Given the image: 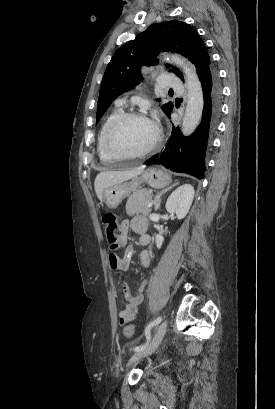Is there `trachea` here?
<instances>
[{
	"label": "trachea",
	"instance_id": "1",
	"mask_svg": "<svg viewBox=\"0 0 275 409\" xmlns=\"http://www.w3.org/2000/svg\"><path fill=\"white\" fill-rule=\"evenodd\" d=\"M169 91H173V89L171 88Z\"/></svg>",
	"mask_w": 275,
	"mask_h": 409
}]
</instances>
